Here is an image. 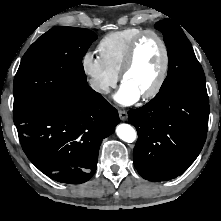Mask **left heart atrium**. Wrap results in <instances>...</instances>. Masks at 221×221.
<instances>
[{
  "label": "left heart atrium",
  "mask_w": 221,
  "mask_h": 221,
  "mask_svg": "<svg viewBox=\"0 0 221 221\" xmlns=\"http://www.w3.org/2000/svg\"><path fill=\"white\" fill-rule=\"evenodd\" d=\"M140 98V94L126 84H122L115 95V100L122 105H130Z\"/></svg>",
  "instance_id": "obj_1"
}]
</instances>
